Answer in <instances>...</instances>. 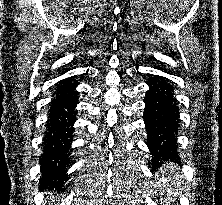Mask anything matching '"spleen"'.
<instances>
[{"instance_id":"1","label":"spleen","mask_w":222,"mask_h":205,"mask_svg":"<svg viewBox=\"0 0 222 205\" xmlns=\"http://www.w3.org/2000/svg\"><path fill=\"white\" fill-rule=\"evenodd\" d=\"M169 169H171V170L173 169V164L166 165V167L164 169L161 168L160 172H161V174H165L166 171ZM160 181L163 183L162 189L164 191H167L169 194L172 193V191H178V190H176V187H175V189H172L173 186L171 185V183L174 181L173 177L172 178L171 177L162 178V180H160Z\"/></svg>"}]
</instances>
